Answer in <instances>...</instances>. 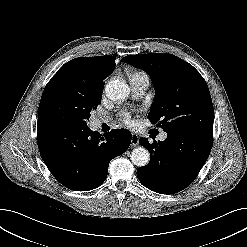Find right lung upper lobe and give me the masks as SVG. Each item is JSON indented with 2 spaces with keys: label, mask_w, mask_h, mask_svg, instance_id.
Masks as SVG:
<instances>
[{
  "label": "right lung upper lobe",
  "mask_w": 247,
  "mask_h": 247,
  "mask_svg": "<svg viewBox=\"0 0 247 247\" xmlns=\"http://www.w3.org/2000/svg\"><path fill=\"white\" fill-rule=\"evenodd\" d=\"M74 60L80 64L84 75L101 89L104 85L103 80L115 68L114 56L80 57Z\"/></svg>",
  "instance_id": "right-lung-upper-lobe-1"
}]
</instances>
